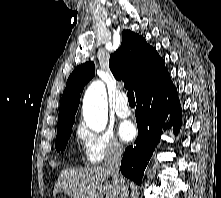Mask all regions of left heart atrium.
Masks as SVG:
<instances>
[{
    "mask_svg": "<svg viewBox=\"0 0 221 198\" xmlns=\"http://www.w3.org/2000/svg\"><path fill=\"white\" fill-rule=\"evenodd\" d=\"M118 133L123 141H131L136 136V128L131 122L126 121L120 125Z\"/></svg>",
    "mask_w": 221,
    "mask_h": 198,
    "instance_id": "left-heart-atrium-1",
    "label": "left heart atrium"
}]
</instances>
